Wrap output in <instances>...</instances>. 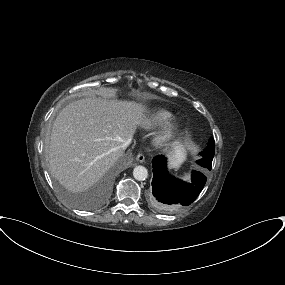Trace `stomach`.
<instances>
[{"instance_id":"stomach-1","label":"stomach","mask_w":285,"mask_h":285,"mask_svg":"<svg viewBox=\"0 0 285 285\" xmlns=\"http://www.w3.org/2000/svg\"><path fill=\"white\" fill-rule=\"evenodd\" d=\"M183 159H184V155L182 157H179V158L173 157L172 165L178 166L183 161Z\"/></svg>"}]
</instances>
